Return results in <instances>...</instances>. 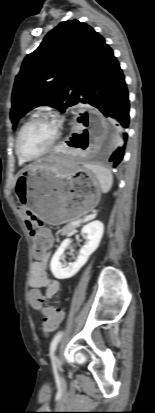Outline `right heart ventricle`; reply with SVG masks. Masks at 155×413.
<instances>
[{"label": "right heart ventricle", "instance_id": "1", "mask_svg": "<svg viewBox=\"0 0 155 413\" xmlns=\"http://www.w3.org/2000/svg\"><path fill=\"white\" fill-rule=\"evenodd\" d=\"M15 151H16V144H15ZM16 155H17V158H18L19 163L22 164V163L25 162V160H23L22 158H20V157L18 156L17 152H16Z\"/></svg>", "mask_w": 155, "mask_h": 413}]
</instances>
